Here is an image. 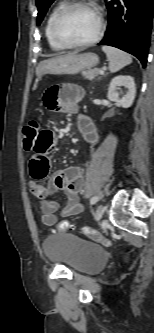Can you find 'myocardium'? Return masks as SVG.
<instances>
[{
	"label": "myocardium",
	"mask_w": 154,
	"mask_h": 333,
	"mask_svg": "<svg viewBox=\"0 0 154 333\" xmlns=\"http://www.w3.org/2000/svg\"><path fill=\"white\" fill-rule=\"evenodd\" d=\"M77 7H90L92 8L98 17V27L95 35L85 41H80V42H71L65 39L62 34L60 33V23L64 16L72 9L77 8ZM105 25H104V17L101 11L95 7L93 4L83 1V0H73L68 3H66L55 15L53 22H52V33L56 41L61 44L62 46L66 48H78V47H87L90 45L95 44L100 40L104 33Z\"/></svg>",
	"instance_id": "1"
}]
</instances>
